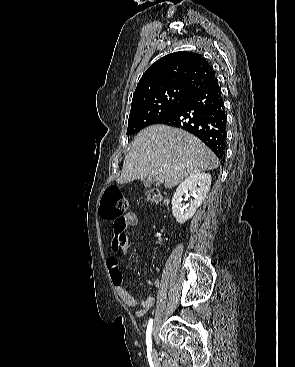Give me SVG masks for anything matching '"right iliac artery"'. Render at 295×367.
<instances>
[{
  "instance_id": "obj_1",
  "label": "right iliac artery",
  "mask_w": 295,
  "mask_h": 367,
  "mask_svg": "<svg viewBox=\"0 0 295 367\" xmlns=\"http://www.w3.org/2000/svg\"><path fill=\"white\" fill-rule=\"evenodd\" d=\"M152 325H153V319H150L146 331V344L148 354L152 353V339H151Z\"/></svg>"
}]
</instances>
